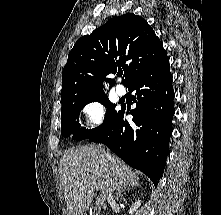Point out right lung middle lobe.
<instances>
[{
	"label": "right lung middle lobe",
	"mask_w": 221,
	"mask_h": 215,
	"mask_svg": "<svg viewBox=\"0 0 221 215\" xmlns=\"http://www.w3.org/2000/svg\"><path fill=\"white\" fill-rule=\"evenodd\" d=\"M94 101L102 103L107 108V111L104 122L99 127L88 130L81 127L79 121L76 120L79 118L80 111L83 107ZM118 114L119 111L115 110V105L108 100L105 94L86 100L64 104L61 109V134L65 137L73 135L72 138L75 140L90 138L110 127Z\"/></svg>",
	"instance_id": "1"
}]
</instances>
